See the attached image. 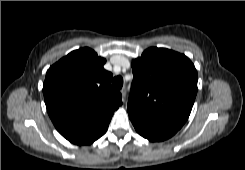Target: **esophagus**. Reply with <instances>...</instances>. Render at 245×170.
I'll list each match as a JSON object with an SVG mask.
<instances>
[{
	"label": "esophagus",
	"instance_id": "esophagus-1",
	"mask_svg": "<svg viewBox=\"0 0 245 170\" xmlns=\"http://www.w3.org/2000/svg\"><path fill=\"white\" fill-rule=\"evenodd\" d=\"M120 92H121V95H122V100L125 101V97H126V88L123 87V88L120 90Z\"/></svg>",
	"mask_w": 245,
	"mask_h": 170
}]
</instances>
